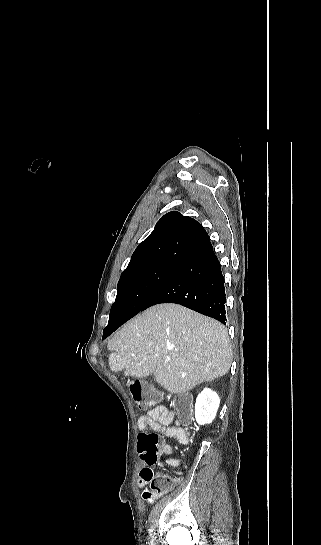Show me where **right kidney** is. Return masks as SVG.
Returning a JSON list of instances; mask_svg holds the SVG:
<instances>
[{"mask_svg":"<svg viewBox=\"0 0 321 545\" xmlns=\"http://www.w3.org/2000/svg\"><path fill=\"white\" fill-rule=\"evenodd\" d=\"M220 399L211 389H204L196 399L195 419L198 425H206L212 423L216 417Z\"/></svg>","mask_w":321,"mask_h":545,"instance_id":"1","label":"right kidney"}]
</instances>
